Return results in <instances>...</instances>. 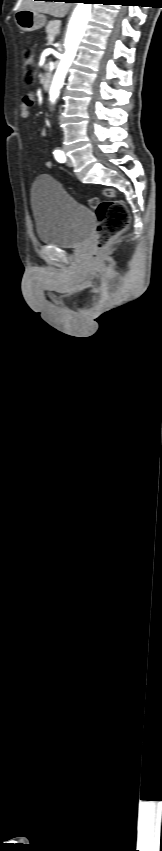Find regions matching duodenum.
I'll return each mask as SVG.
<instances>
[{
    "label": "duodenum",
    "mask_w": 162,
    "mask_h": 851,
    "mask_svg": "<svg viewBox=\"0 0 162 851\" xmlns=\"http://www.w3.org/2000/svg\"><path fill=\"white\" fill-rule=\"evenodd\" d=\"M41 83H42V87H43V89H44V90H47V89L50 87V84H51V74H50L49 72H46V73L44 74V76H43V78H42Z\"/></svg>",
    "instance_id": "410a0bca"
}]
</instances>
